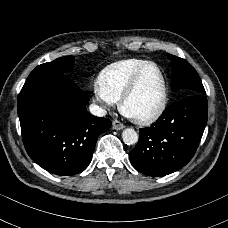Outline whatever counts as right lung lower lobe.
<instances>
[{
    "instance_id": "1",
    "label": "right lung lower lobe",
    "mask_w": 228,
    "mask_h": 228,
    "mask_svg": "<svg viewBox=\"0 0 228 228\" xmlns=\"http://www.w3.org/2000/svg\"><path fill=\"white\" fill-rule=\"evenodd\" d=\"M89 98L64 73L27 79L18 115L28 155L45 170L63 176L84 171L98 136L111 121L87 112Z\"/></svg>"
}]
</instances>
